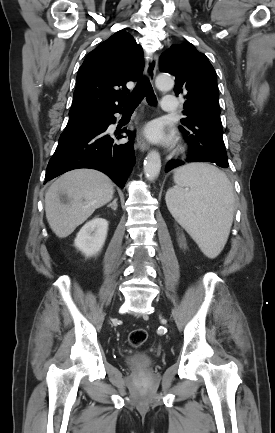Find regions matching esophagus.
Returning <instances> with one entry per match:
<instances>
[{"label":"esophagus","mask_w":275,"mask_h":433,"mask_svg":"<svg viewBox=\"0 0 275 433\" xmlns=\"http://www.w3.org/2000/svg\"><path fill=\"white\" fill-rule=\"evenodd\" d=\"M157 67H158V56L157 54H152L151 57L146 61L145 71H144L145 76L150 81L154 80ZM137 146L143 152L147 151L150 147L147 141L141 135L137 137Z\"/></svg>","instance_id":"obj_1"}]
</instances>
